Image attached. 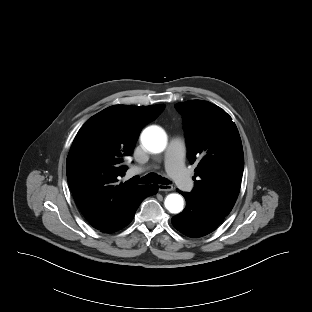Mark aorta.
<instances>
[{
  "instance_id": "1",
  "label": "aorta",
  "mask_w": 312,
  "mask_h": 312,
  "mask_svg": "<svg viewBox=\"0 0 312 312\" xmlns=\"http://www.w3.org/2000/svg\"><path fill=\"white\" fill-rule=\"evenodd\" d=\"M141 141L146 150L151 153H160L166 147V135L158 127L146 128L141 136ZM184 201L179 194H169L165 199V207L171 213L183 210Z\"/></svg>"
}]
</instances>
